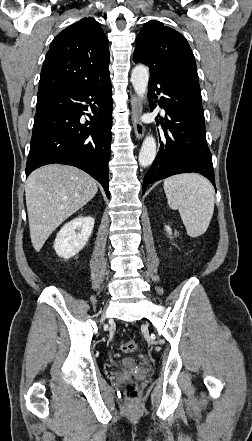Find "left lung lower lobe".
Masks as SVG:
<instances>
[{
	"instance_id": "left-lung-lower-lobe-1",
	"label": "left lung lower lobe",
	"mask_w": 252,
	"mask_h": 441,
	"mask_svg": "<svg viewBox=\"0 0 252 441\" xmlns=\"http://www.w3.org/2000/svg\"><path fill=\"white\" fill-rule=\"evenodd\" d=\"M148 89L151 101L156 97L155 91L158 95L162 93L158 102L167 115L166 123L161 121L166 129L159 136L160 148L144 177L142 194L152 182L187 172L200 173L215 185L201 91L180 75L150 78ZM156 120L159 122L158 118Z\"/></svg>"
}]
</instances>
